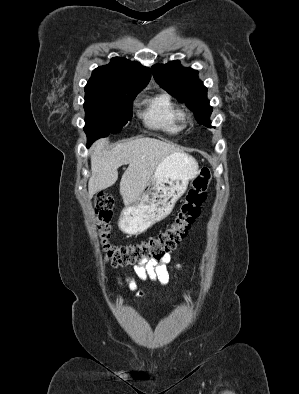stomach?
<instances>
[{"instance_id":"obj_1","label":"stomach","mask_w":299,"mask_h":394,"mask_svg":"<svg viewBox=\"0 0 299 394\" xmlns=\"http://www.w3.org/2000/svg\"><path fill=\"white\" fill-rule=\"evenodd\" d=\"M197 174L198 163L192 156L180 151L166 156L139 200L121 212L118 222L121 231L138 235L167 217Z\"/></svg>"}]
</instances>
